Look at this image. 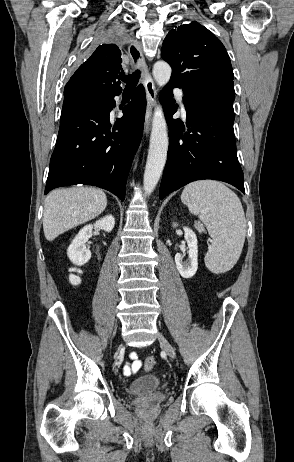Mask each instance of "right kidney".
I'll list each match as a JSON object with an SVG mask.
<instances>
[{"label":"right kidney","mask_w":294,"mask_h":462,"mask_svg":"<svg viewBox=\"0 0 294 462\" xmlns=\"http://www.w3.org/2000/svg\"><path fill=\"white\" fill-rule=\"evenodd\" d=\"M115 225V219L112 215H107L96 221L94 225H86L72 240L67 249V256L75 265H84L91 258V251L86 248V242L92 237L93 227L111 232Z\"/></svg>","instance_id":"obj_1"}]
</instances>
